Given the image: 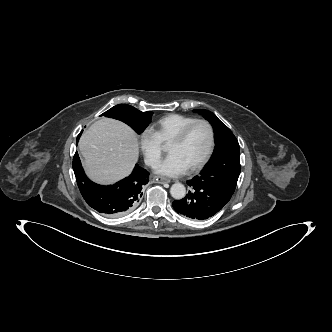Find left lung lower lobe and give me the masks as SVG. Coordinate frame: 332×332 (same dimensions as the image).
Returning a JSON list of instances; mask_svg holds the SVG:
<instances>
[{
    "mask_svg": "<svg viewBox=\"0 0 332 332\" xmlns=\"http://www.w3.org/2000/svg\"><path fill=\"white\" fill-rule=\"evenodd\" d=\"M200 178L196 176L187 181L191 187L188 195L173 202V207L177 213L194 220H206L212 217L229 201L225 196L211 189Z\"/></svg>",
    "mask_w": 332,
    "mask_h": 332,
    "instance_id": "0a47b994",
    "label": "left lung lower lobe"
}]
</instances>
